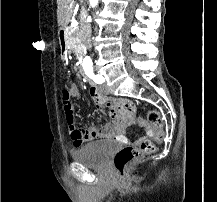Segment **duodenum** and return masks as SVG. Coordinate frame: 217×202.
Segmentation results:
<instances>
[{
    "label": "duodenum",
    "instance_id": "obj_1",
    "mask_svg": "<svg viewBox=\"0 0 217 202\" xmlns=\"http://www.w3.org/2000/svg\"><path fill=\"white\" fill-rule=\"evenodd\" d=\"M58 40L60 45V55L61 58L64 59L67 57V33L65 29H61L59 31ZM80 75L89 83L90 86H94V80L89 73L85 72L84 70H81Z\"/></svg>",
    "mask_w": 217,
    "mask_h": 202
}]
</instances>
